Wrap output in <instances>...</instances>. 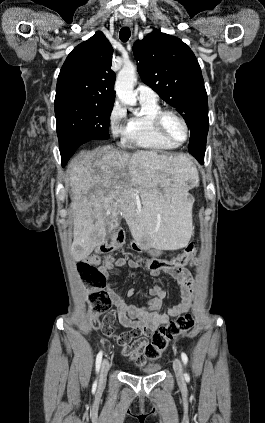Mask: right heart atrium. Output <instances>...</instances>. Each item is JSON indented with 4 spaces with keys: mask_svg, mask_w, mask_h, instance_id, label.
<instances>
[{
    "mask_svg": "<svg viewBox=\"0 0 265 423\" xmlns=\"http://www.w3.org/2000/svg\"><path fill=\"white\" fill-rule=\"evenodd\" d=\"M126 120V110L118 102L115 101L108 114L109 129L114 137H119L124 131V121Z\"/></svg>",
    "mask_w": 265,
    "mask_h": 423,
    "instance_id": "d8ad5b80",
    "label": "right heart atrium"
}]
</instances>
